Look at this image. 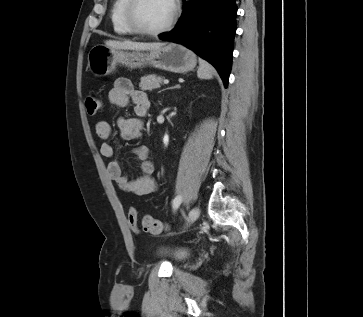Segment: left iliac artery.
Masks as SVG:
<instances>
[{
    "mask_svg": "<svg viewBox=\"0 0 363 317\" xmlns=\"http://www.w3.org/2000/svg\"><path fill=\"white\" fill-rule=\"evenodd\" d=\"M182 202V196H177L172 202L173 209L176 210Z\"/></svg>",
    "mask_w": 363,
    "mask_h": 317,
    "instance_id": "left-iliac-artery-1",
    "label": "left iliac artery"
}]
</instances>
